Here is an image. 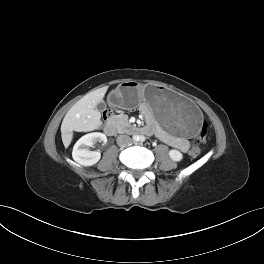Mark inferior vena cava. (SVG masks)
<instances>
[{
	"instance_id": "1",
	"label": "inferior vena cava",
	"mask_w": 264,
	"mask_h": 264,
	"mask_svg": "<svg viewBox=\"0 0 264 264\" xmlns=\"http://www.w3.org/2000/svg\"><path fill=\"white\" fill-rule=\"evenodd\" d=\"M117 144L120 147H126V146H129V145L132 144V139L129 136H127V135H120L117 138Z\"/></svg>"
}]
</instances>
